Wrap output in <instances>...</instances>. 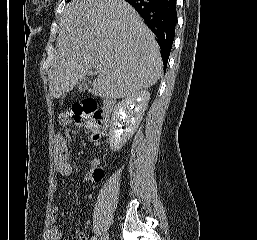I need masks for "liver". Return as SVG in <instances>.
Masks as SVG:
<instances>
[{"label":"liver","instance_id":"obj_1","mask_svg":"<svg viewBox=\"0 0 257 240\" xmlns=\"http://www.w3.org/2000/svg\"><path fill=\"white\" fill-rule=\"evenodd\" d=\"M98 65L93 90L120 99L154 85L162 74L154 34L124 0H72L62 13L49 91L64 98Z\"/></svg>","mask_w":257,"mask_h":240}]
</instances>
